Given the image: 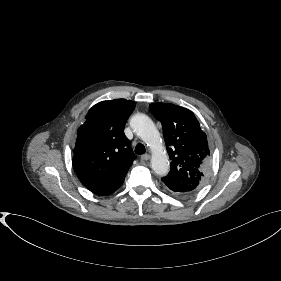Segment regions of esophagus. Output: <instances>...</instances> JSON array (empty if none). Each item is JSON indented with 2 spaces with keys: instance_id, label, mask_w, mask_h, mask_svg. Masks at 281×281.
<instances>
[{
  "instance_id": "obj_1",
  "label": "esophagus",
  "mask_w": 281,
  "mask_h": 281,
  "mask_svg": "<svg viewBox=\"0 0 281 281\" xmlns=\"http://www.w3.org/2000/svg\"><path fill=\"white\" fill-rule=\"evenodd\" d=\"M141 161H147L150 159V155L149 154H143L140 157Z\"/></svg>"
}]
</instances>
